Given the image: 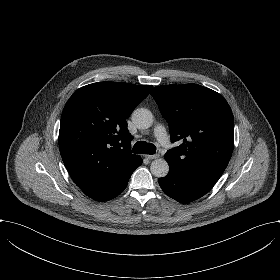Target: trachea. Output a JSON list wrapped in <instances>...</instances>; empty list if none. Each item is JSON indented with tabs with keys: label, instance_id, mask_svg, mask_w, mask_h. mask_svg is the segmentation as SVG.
Masks as SVG:
<instances>
[{
	"label": "trachea",
	"instance_id": "1",
	"mask_svg": "<svg viewBox=\"0 0 280 280\" xmlns=\"http://www.w3.org/2000/svg\"><path fill=\"white\" fill-rule=\"evenodd\" d=\"M132 152L135 154H155L156 153V147L152 143H148L145 141H138L134 144L132 148Z\"/></svg>",
	"mask_w": 280,
	"mask_h": 280
}]
</instances>
